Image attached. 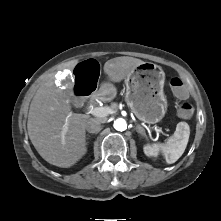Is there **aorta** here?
I'll return each instance as SVG.
<instances>
[{
  "label": "aorta",
  "mask_w": 221,
  "mask_h": 221,
  "mask_svg": "<svg viewBox=\"0 0 221 221\" xmlns=\"http://www.w3.org/2000/svg\"><path fill=\"white\" fill-rule=\"evenodd\" d=\"M114 128L117 131H125L127 129V123L123 118H118L114 121Z\"/></svg>",
  "instance_id": "obj_1"
}]
</instances>
